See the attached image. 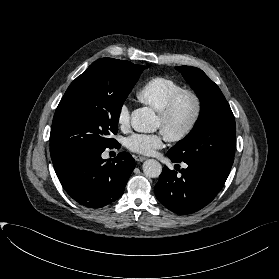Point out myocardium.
<instances>
[{"label": "myocardium", "mask_w": 279, "mask_h": 279, "mask_svg": "<svg viewBox=\"0 0 279 279\" xmlns=\"http://www.w3.org/2000/svg\"><path fill=\"white\" fill-rule=\"evenodd\" d=\"M189 97L194 103V112L187 123V125L178 132L165 134L167 139L173 142L182 141L187 138L197 127L203 113V102L201 97L193 90L190 89H180L173 93L166 102L165 107L159 112V119L167 124L175 111L177 102L181 97Z\"/></svg>", "instance_id": "myocardium-1"}]
</instances>
